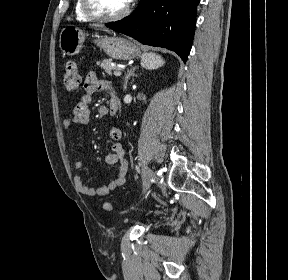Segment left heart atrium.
Returning a JSON list of instances; mask_svg holds the SVG:
<instances>
[{
    "label": "left heart atrium",
    "mask_w": 288,
    "mask_h": 280,
    "mask_svg": "<svg viewBox=\"0 0 288 280\" xmlns=\"http://www.w3.org/2000/svg\"><path fill=\"white\" fill-rule=\"evenodd\" d=\"M131 0H126L127 3H129Z\"/></svg>",
    "instance_id": "left-heart-atrium-1"
}]
</instances>
